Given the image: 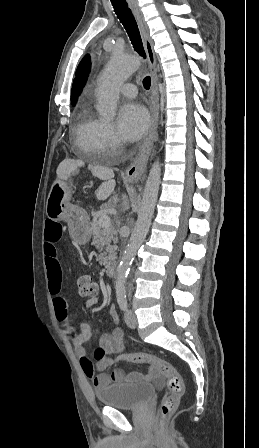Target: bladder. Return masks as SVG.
Wrapping results in <instances>:
<instances>
[{
  "instance_id": "31cf9c89",
  "label": "bladder",
  "mask_w": 259,
  "mask_h": 448,
  "mask_svg": "<svg viewBox=\"0 0 259 448\" xmlns=\"http://www.w3.org/2000/svg\"><path fill=\"white\" fill-rule=\"evenodd\" d=\"M154 393L155 387L149 383H117L95 391L102 405L125 410L143 407Z\"/></svg>"
}]
</instances>
